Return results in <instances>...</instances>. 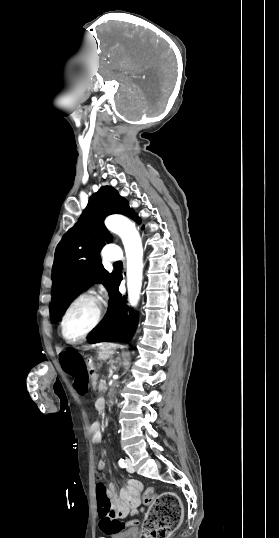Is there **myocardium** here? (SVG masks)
<instances>
[{"label": "myocardium", "mask_w": 279, "mask_h": 538, "mask_svg": "<svg viewBox=\"0 0 279 538\" xmlns=\"http://www.w3.org/2000/svg\"><path fill=\"white\" fill-rule=\"evenodd\" d=\"M83 303H92L94 305L95 307L94 317L91 323L88 325V327L80 335H78L77 337L73 339H69L65 334V328H66L68 318L70 317L74 309ZM103 311H104V306H103L102 299L94 292L88 291V292L82 293L80 296L75 298L65 309L59 321V331L63 340L68 344H75L84 340L99 326L103 317Z\"/></svg>", "instance_id": "obj_1"}]
</instances>
